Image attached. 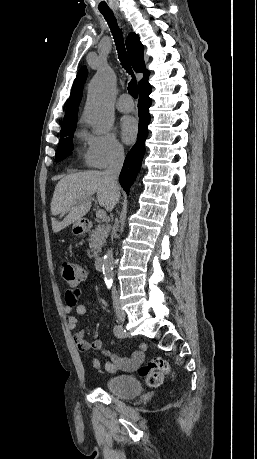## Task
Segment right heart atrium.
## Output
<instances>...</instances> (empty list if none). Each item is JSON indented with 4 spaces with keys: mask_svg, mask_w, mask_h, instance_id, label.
<instances>
[{
    "mask_svg": "<svg viewBox=\"0 0 257 459\" xmlns=\"http://www.w3.org/2000/svg\"><path fill=\"white\" fill-rule=\"evenodd\" d=\"M83 138L87 145L86 160L94 168H105L120 161L124 156V147L112 132H84Z\"/></svg>",
    "mask_w": 257,
    "mask_h": 459,
    "instance_id": "d8ad5b80",
    "label": "right heart atrium"
}]
</instances>
